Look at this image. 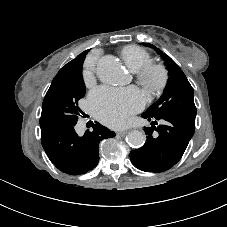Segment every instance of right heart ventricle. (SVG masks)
<instances>
[{
	"mask_svg": "<svg viewBox=\"0 0 227 227\" xmlns=\"http://www.w3.org/2000/svg\"><path fill=\"white\" fill-rule=\"evenodd\" d=\"M119 53L127 67L133 72L152 61L151 54L146 49L133 44L123 46Z\"/></svg>",
	"mask_w": 227,
	"mask_h": 227,
	"instance_id": "right-heart-ventricle-1",
	"label": "right heart ventricle"
}]
</instances>
